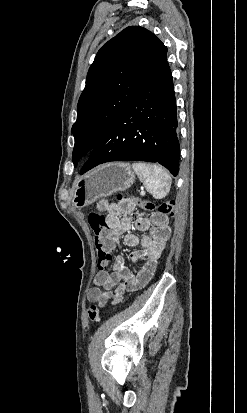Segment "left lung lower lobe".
Returning a JSON list of instances; mask_svg holds the SVG:
<instances>
[{"label": "left lung lower lobe", "instance_id": "obj_1", "mask_svg": "<svg viewBox=\"0 0 247 413\" xmlns=\"http://www.w3.org/2000/svg\"><path fill=\"white\" fill-rule=\"evenodd\" d=\"M173 81L166 60L109 126L81 174L110 161L158 162L174 176L180 156Z\"/></svg>", "mask_w": 247, "mask_h": 413}]
</instances>
